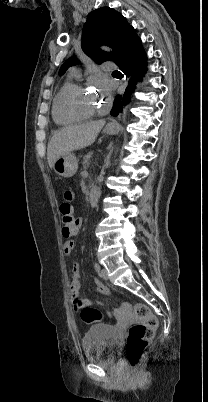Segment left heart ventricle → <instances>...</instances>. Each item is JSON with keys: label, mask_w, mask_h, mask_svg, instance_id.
<instances>
[{"label": "left heart ventricle", "mask_w": 208, "mask_h": 402, "mask_svg": "<svg viewBox=\"0 0 208 402\" xmlns=\"http://www.w3.org/2000/svg\"><path fill=\"white\" fill-rule=\"evenodd\" d=\"M101 100L98 96L87 95L83 92L77 99L78 105L85 110L93 108Z\"/></svg>", "instance_id": "obj_1"}]
</instances>
